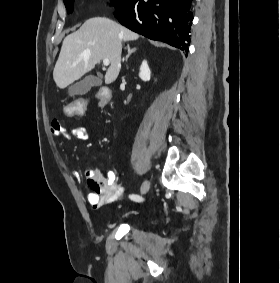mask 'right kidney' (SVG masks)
<instances>
[{
    "label": "right kidney",
    "mask_w": 280,
    "mask_h": 283,
    "mask_svg": "<svg viewBox=\"0 0 280 283\" xmlns=\"http://www.w3.org/2000/svg\"><path fill=\"white\" fill-rule=\"evenodd\" d=\"M139 77L143 81H149L150 80L151 72H150L149 66L147 64V61L142 62L141 66H140Z\"/></svg>",
    "instance_id": "ca27d5eb"
}]
</instances>
